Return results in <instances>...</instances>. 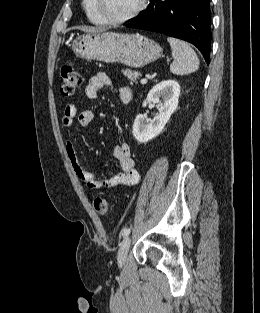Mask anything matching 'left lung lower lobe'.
Listing matches in <instances>:
<instances>
[{
	"label": "left lung lower lobe",
	"instance_id": "obj_1",
	"mask_svg": "<svg viewBox=\"0 0 260 313\" xmlns=\"http://www.w3.org/2000/svg\"><path fill=\"white\" fill-rule=\"evenodd\" d=\"M210 0H150L127 27L150 30L194 44L210 62Z\"/></svg>",
	"mask_w": 260,
	"mask_h": 313
}]
</instances>
